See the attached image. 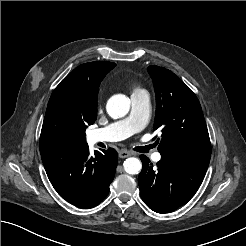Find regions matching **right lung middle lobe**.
Here are the masks:
<instances>
[{
  "mask_svg": "<svg viewBox=\"0 0 246 246\" xmlns=\"http://www.w3.org/2000/svg\"><path fill=\"white\" fill-rule=\"evenodd\" d=\"M95 120L96 117L92 119H85L81 116L73 117L67 126L68 137L79 142H85L86 126L93 124Z\"/></svg>",
  "mask_w": 246,
  "mask_h": 246,
  "instance_id": "dd1d6c3e",
  "label": "right lung middle lobe"
}]
</instances>
